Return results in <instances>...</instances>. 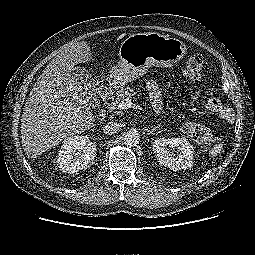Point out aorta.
Wrapping results in <instances>:
<instances>
[{
	"label": "aorta",
	"instance_id": "1",
	"mask_svg": "<svg viewBox=\"0 0 255 255\" xmlns=\"http://www.w3.org/2000/svg\"><path fill=\"white\" fill-rule=\"evenodd\" d=\"M140 141V135L137 130L132 129L125 133L124 143L127 146H136Z\"/></svg>",
	"mask_w": 255,
	"mask_h": 255
}]
</instances>
